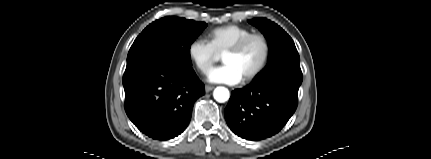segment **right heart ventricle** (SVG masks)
<instances>
[{
  "mask_svg": "<svg viewBox=\"0 0 431 159\" xmlns=\"http://www.w3.org/2000/svg\"><path fill=\"white\" fill-rule=\"evenodd\" d=\"M252 33V30L240 25H224L210 31L209 42L217 54H224L225 51Z\"/></svg>",
  "mask_w": 431,
  "mask_h": 159,
  "instance_id": "right-heart-ventricle-1",
  "label": "right heart ventricle"
}]
</instances>
